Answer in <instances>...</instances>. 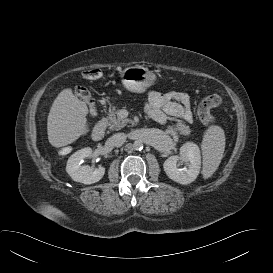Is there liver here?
<instances>
[{"mask_svg": "<svg viewBox=\"0 0 273 273\" xmlns=\"http://www.w3.org/2000/svg\"><path fill=\"white\" fill-rule=\"evenodd\" d=\"M88 107L65 89L54 100L47 119L48 140L59 148L75 142L88 131Z\"/></svg>", "mask_w": 273, "mask_h": 273, "instance_id": "obj_1", "label": "liver"}]
</instances>
